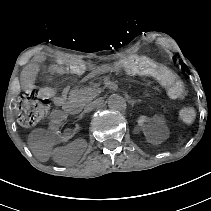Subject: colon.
Instances as JSON below:
<instances>
[{
  "instance_id": "5ec220e1",
  "label": "colon",
  "mask_w": 211,
  "mask_h": 211,
  "mask_svg": "<svg viewBox=\"0 0 211 211\" xmlns=\"http://www.w3.org/2000/svg\"><path fill=\"white\" fill-rule=\"evenodd\" d=\"M118 71L130 75H148L157 78L165 85L173 97L183 98L186 91L179 79L167 68L159 65L154 60L144 56H130L111 65ZM51 70L56 73L79 74L84 70L81 62H64L55 64ZM51 104V96L42 88H35L24 93L19 102V123L24 127H31L41 121L48 113ZM195 111L192 108H184L180 112V118L185 124H191L195 120Z\"/></svg>"
}]
</instances>
